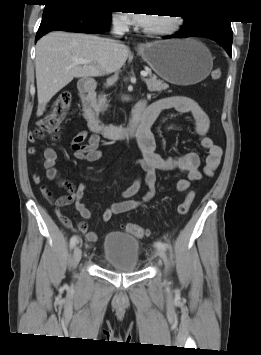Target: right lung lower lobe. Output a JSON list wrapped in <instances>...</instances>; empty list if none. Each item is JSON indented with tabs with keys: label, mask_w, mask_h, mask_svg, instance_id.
<instances>
[{
	"label": "right lung lower lobe",
	"mask_w": 261,
	"mask_h": 355,
	"mask_svg": "<svg viewBox=\"0 0 261 355\" xmlns=\"http://www.w3.org/2000/svg\"><path fill=\"white\" fill-rule=\"evenodd\" d=\"M35 42L51 31L97 33L110 25L111 11L99 9L76 0L45 4Z\"/></svg>",
	"instance_id": "obj_1"
}]
</instances>
